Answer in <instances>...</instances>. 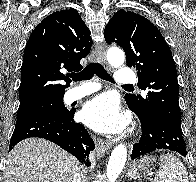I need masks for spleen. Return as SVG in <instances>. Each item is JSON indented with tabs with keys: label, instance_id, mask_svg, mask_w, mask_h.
<instances>
[{
	"label": "spleen",
	"instance_id": "1",
	"mask_svg": "<svg viewBox=\"0 0 196 182\" xmlns=\"http://www.w3.org/2000/svg\"><path fill=\"white\" fill-rule=\"evenodd\" d=\"M153 160L144 156L140 162ZM160 168L154 178V182H189L188 173L183 163L172 154H164L160 157Z\"/></svg>",
	"mask_w": 196,
	"mask_h": 182
}]
</instances>
